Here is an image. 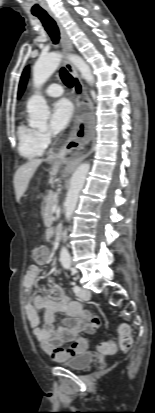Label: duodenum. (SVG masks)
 Returning <instances> with one entry per match:
<instances>
[{
	"label": "duodenum",
	"instance_id": "410a0bca",
	"mask_svg": "<svg viewBox=\"0 0 155 413\" xmlns=\"http://www.w3.org/2000/svg\"><path fill=\"white\" fill-rule=\"evenodd\" d=\"M60 238H61V236H60V231L58 230L55 234H54V242L55 243H60Z\"/></svg>",
	"mask_w": 155,
	"mask_h": 413
}]
</instances>
